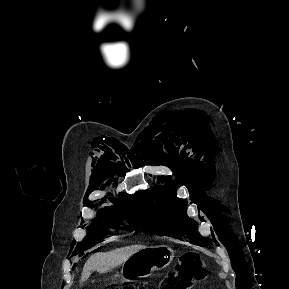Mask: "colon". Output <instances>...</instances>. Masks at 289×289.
Returning a JSON list of instances; mask_svg holds the SVG:
<instances>
[{
  "label": "colon",
  "instance_id": "1",
  "mask_svg": "<svg viewBox=\"0 0 289 289\" xmlns=\"http://www.w3.org/2000/svg\"><path fill=\"white\" fill-rule=\"evenodd\" d=\"M207 276V268L195 252L186 253L174 274L166 281L163 289H191ZM134 285L109 287L108 289H134Z\"/></svg>",
  "mask_w": 289,
  "mask_h": 289
}]
</instances>
